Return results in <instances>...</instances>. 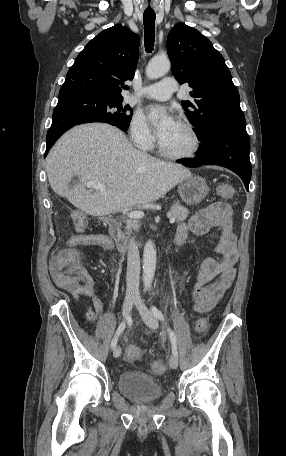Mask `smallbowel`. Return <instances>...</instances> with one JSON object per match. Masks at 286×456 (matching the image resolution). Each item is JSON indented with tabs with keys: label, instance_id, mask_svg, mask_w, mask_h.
Returning a JSON list of instances; mask_svg holds the SVG:
<instances>
[{
	"label": "small bowel",
	"instance_id": "1",
	"mask_svg": "<svg viewBox=\"0 0 286 456\" xmlns=\"http://www.w3.org/2000/svg\"><path fill=\"white\" fill-rule=\"evenodd\" d=\"M234 217L231 207L223 202L213 203L194 214L187 223L178 226L176 234L187 236L188 232L196 235L207 233L212 228H219L221 235L216 246L218 257H209L195 269L193 278V310L197 313L210 311L220 301L224 293L232 285L235 266L239 259L236 235L233 230ZM68 246L94 247L107 251L114 249L110 238L104 235L78 234L71 237ZM76 299L87 297L91 304L86 305V318L93 322L103 313V302L100 299V288L91 276H87L84 284L76 291H71ZM136 347L129 346L127 351Z\"/></svg>",
	"mask_w": 286,
	"mask_h": 456
}]
</instances>
